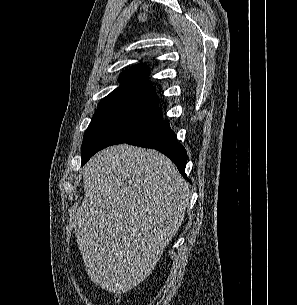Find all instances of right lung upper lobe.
<instances>
[{
    "instance_id": "right-lung-upper-lobe-1",
    "label": "right lung upper lobe",
    "mask_w": 297,
    "mask_h": 305,
    "mask_svg": "<svg viewBox=\"0 0 297 305\" xmlns=\"http://www.w3.org/2000/svg\"><path fill=\"white\" fill-rule=\"evenodd\" d=\"M150 71L144 66H135L123 72L119 78L121 85L113 90L99 104L117 99H143L159 102L155 89L147 79Z\"/></svg>"
}]
</instances>
